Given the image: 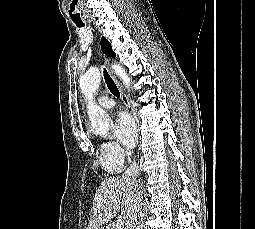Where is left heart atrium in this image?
<instances>
[{"mask_svg": "<svg viewBox=\"0 0 255 229\" xmlns=\"http://www.w3.org/2000/svg\"><path fill=\"white\" fill-rule=\"evenodd\" d=\"M117 138L127 147H133L137 141V129L134 121L126 114H120L114 125Z\"/></svg>", "mask_w": 255, "mask_h": 229, "instance_id": "39dd6f15", "label": "left heart atrium"}]
</instances>
